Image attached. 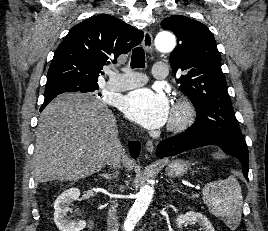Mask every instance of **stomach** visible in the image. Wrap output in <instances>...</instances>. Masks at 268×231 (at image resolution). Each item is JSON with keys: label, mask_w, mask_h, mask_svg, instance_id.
Returning <instances> with one entry per match:
<instances>
[{"label": "stomach", "mask_w": 268, "mask_h": 231, "mask_svg": "<svg viewBox=\"0 0 268 231\" xmlns=\"http://www.w3.org/2000/svg\"><path fill=\"white\" fill-rule=\"evenodd\" d=\"M190 169V163L181 159L173 160L166 166V173L170 177H180Z\"/></svg>", "instance_id": "0dacf381"}]
</instances>
